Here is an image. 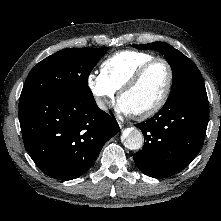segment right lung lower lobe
I'll list each match as a JSON object with an SVG mask.
<instances>
[{
    "instance_id": "right-lung-lower-lobe-1",
    "label": "right lung lower lobe",
    "mask_w": 221,
    "mask_h": 221,
    "mask_svg": "<svg viewBox=\"0 0 221 221\" xmlns=\"http://www.w3.org/2000/svg\"><path fill=\"white\" fill-rule=\"evenodd\" d=\"M19 121L35 164L59 180L85 173L119 131L115 118L97 107L93 95L20 99Z\"/></svg>"
}]
</instances>
